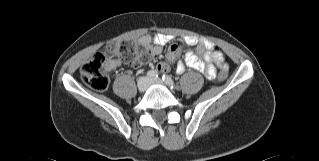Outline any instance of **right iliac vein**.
<instances>
[{
  "label": "right iliac vein",
  "instance_id": "right-iliac-vein-1",
  "mask_svg": "<svg viewBox=\"0 0 319 161\" xmlns=\"http://www.w3.org/2000/svg\"><path fill=\"white\" fill-rule=\"evenodd\" d=\"M137 87L140 92L146 91V89L148 88V79L146 77H141L138 80Z\"/></svg>",
  "mask_w": 319,
  "mask_h": 161
}]
</instances>
